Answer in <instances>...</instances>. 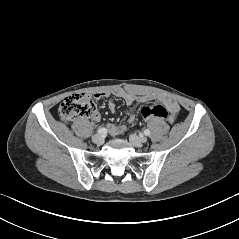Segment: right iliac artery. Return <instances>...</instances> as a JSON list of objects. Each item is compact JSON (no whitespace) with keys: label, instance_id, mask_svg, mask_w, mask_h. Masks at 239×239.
Segmentation results:
<instances>
[{"label":"right iliac artery","instance_id":"obj_1","mask_svg":"<svg viewBox=\"0 0 239 239\" xmlns=\"http://www.w3.org/2000/svg\"><path fill=\"white\" fill-rule=\"evenodd\" d=\"M97 132H98L99 134H106V133H107V129H106V128H99V129L97 130Z\"/></svg>","mask_w":239,"mask_h":239}]
</instances>
